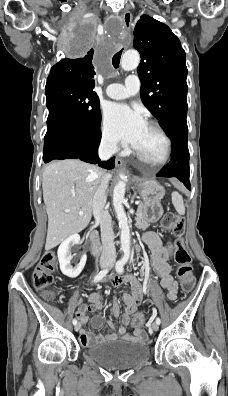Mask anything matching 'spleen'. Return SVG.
Instances as JSON below:
<instances>
[{"mask_svg": "<svg viewBox=\"0 0 228 396\" xmlns=\"http://www.w3.org/2000/svg\"><path fill=\"white\" fill-rule=\"evenodd\" d=\"M172 203L178 214L180 215L185 214V206H184L183 198L178 192H174L172 194Z\"/></svg>", "mask_w": 228, "mask_h": 396, "instance_id": "obj_1", "label": "spleen"}]
</instances>
